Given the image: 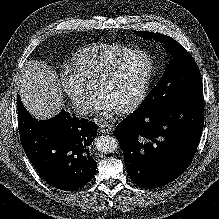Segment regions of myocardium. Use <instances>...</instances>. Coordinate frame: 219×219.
I'll return each mask as SVG.
<instances>
[{"mask_svg":"<svg viewBox=\"0 0 219 219\" xmlns=\"http://www.w3.org/2000/svg\"><path fill=\"white\" fill-rule=\"evenodd\" d=\"M137 54H143L149 62V68L145 75V78L134 96V98L128 102L127 104L123 105L122 107L118 108L117 111L121 114L128 113L132 110H134L144 99L146 96L149 87L151 85L154 73H155V60L152 56V54L141 48L131 49L127 53L123 54L119 58H117L106 70L105 72L100 76V78L97 81L96 84V91L99 94L101 88L109 82V80L113 77V75L117 72L121 64L127 60L128 58L137 55Z\"/></svg>","mask_w":219,"mask_h":219,"instance_id":"1","label":"myocardium"}]
</instances>
